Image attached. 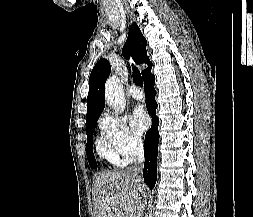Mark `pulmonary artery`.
<instances>
[{"label": "pulmonary artery", "instance_id": "obj_1", "mask_svg": "<svg viewBox=\"0 0 253 217\" xmlns=\"http://www.w3.org/2000/svg\"><path fill=\"white\" fill-rule=\"evenodd\" d=\"M129 93L132 98L137 100L142 99L144 96L143 91L137 85H132L129 89Z\"/></svg>", "mask_w": 253, "mask_h": 217}]
</instances>
